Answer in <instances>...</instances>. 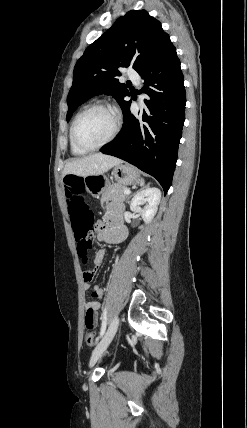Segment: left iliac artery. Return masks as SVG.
Segmentation results:
<instances>
[{"mask_svg":"<svg viewBox=\"0 0 247 428\" xmlns=\"http://www.w3.org/2000/svg\"><path fill=\"white\" fill-rule=\"evenodd\" d=\"M106 326H107V309L106 307L103 310V317H102V325H101V330H100V337H102L105 333L106 330Z\"/></svg>","mask_w":247,"mask_h":428,"instance_id":"1","label":"left iliac artery"}]
</instances>
